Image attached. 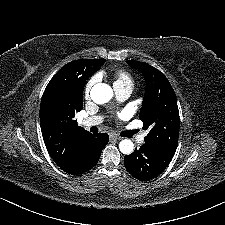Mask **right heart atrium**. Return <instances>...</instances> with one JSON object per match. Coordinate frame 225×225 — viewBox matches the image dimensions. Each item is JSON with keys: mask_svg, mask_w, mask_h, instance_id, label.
Listing matches in <instances>:
<instances>
[{"mask_svg": "<svg viewBox=\"0 0 225 225\" xmlns=\"http://www.w3.org/2000/svg\"><path fill=\"white\" fill-rule=\"evenodd\" d=\"M96 82H97V77L96 76H93V77H91L88 80V82H87V84L85 86V89H84V95L86 97L89 96L90 91H91L92 87L95 85Z\"/></svg>", "mask_w": 225, "mask_h": 225, "instance_id": "d8ad5b80", "label": "right heart atrium"}]
</instances>
